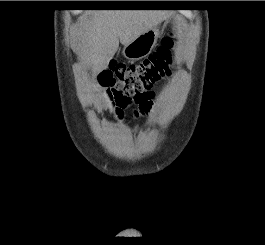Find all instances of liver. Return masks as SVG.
<instances>
[{
	"instance_id": "liver-1",
	"label": "liver",
	"mask_w": 265,
	"mask_h": 245,
	"mask_svg": "<svg viewBox=\"0 0 265 245\" xmlns=\"http://www.w3.org/2000/svg\"><path fill=\"white\" fill-rule=\"evenodd\" d=\"M166 14L156 10H97L84 13L80 58L94 71L107 68L119 47L157 26Z\"/></svg>"
}]
</instances>
